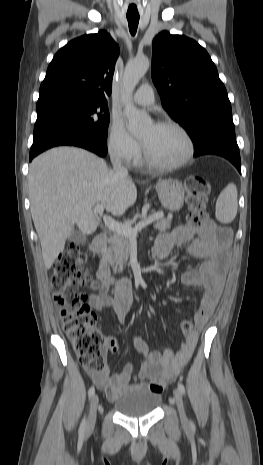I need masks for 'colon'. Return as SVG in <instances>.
I'll list each match as a JSON object with an SVG mask.
<instances>
[{
    "label": "colon",
    "mask_w": 263,
    "mask_h": 465,
    "mask_svg": "<svg viewBox=\"0 0 263 465\" xmlns=\"http://www.w3.org/2000/svg\"><path fill=\"white\" fill-rule=\"evenodd\" d=\"M185 191L189 224L200 229L214 228L205 212L210 182L200 175H192L185 181ZM85 261L86 256L78 244L70 243L53 266L51 288L55 302L61 307L62 327L80 364L90 372H102L105 369L107 340L96 326L95 312L82 296L74 293L75 287L88 281V276H83ZM180 329L185 334L191 333L192 320H183Z\"/></svg>",
    "instance_id": "1"
}]
</instances>
